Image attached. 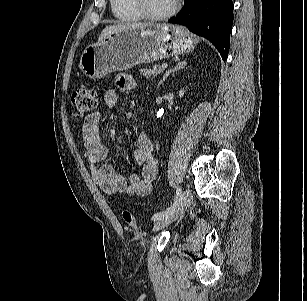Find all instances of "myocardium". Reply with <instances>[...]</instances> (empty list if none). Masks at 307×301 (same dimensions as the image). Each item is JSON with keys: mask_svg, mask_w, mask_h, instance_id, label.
<instances>
[{"mask_svg": "<svg viewBox=\"0 0 307 301\" xmlns=\"http://www.w3.org/2000/svg\"><path fill=\"white\" fill-rule=\"evenodd\" d=\"M135 10L145 19L151 21H161L166 20L177 13L180 7V0H174L172 7L160 14H155L150 12L146 6L144 0H131Z\"/></svg>", "mask_w": 307, "mask_h": 301, "instance_id": "1", "label": "myocardium"}]
</instances>
